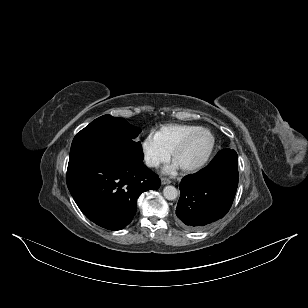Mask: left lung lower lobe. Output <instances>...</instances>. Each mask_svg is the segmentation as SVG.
Masks as SVG:
<instances>
[{
  "label": "left lung lower lobe",
  "instance_id": "0a47b994",
  "mask_svg": "<svg viewBox=\"0 0 308 308\" xmlns=\"http://www.w3.org/2000/svg\"><path fill=\"white\" fill-rule=\"evenodd\" d=\"M238 178L237 153L231 149L218 152L207 167L185 176L176 208L178 223L197 231L224 217L234 200Z\"/></svg>",
  "mask_w": 308,
  "mask_h": 308
}]
</instances>
